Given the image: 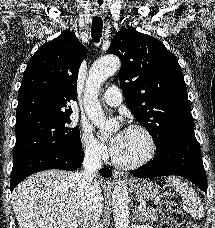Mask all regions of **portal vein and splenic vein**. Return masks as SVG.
Listing matches in <instances>:
<instances>
[{"label":"portal vein and splenic vein","mask_w":215,"mask_h":228,"mask_svg":"<svg viewBox=\"0 0 215 228\" xmlns=\"http://www.w3.org/2000/svg\"><path fill=\"white\" fill-rule=\"evenodd\" d=\"M138 210L139 212H145L146 206H139Z\"/></svg>","instance_id":"portal-vein-and-splenic-vein-1"}]
</instances>
